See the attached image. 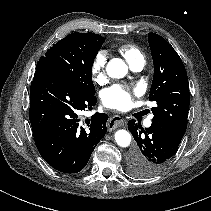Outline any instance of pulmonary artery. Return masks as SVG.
<instances>
[{"label": "pulmonary artery", "instance_id": "e3ab8cb5", "mask_svg": "<svg viewBox=\"0 0 211 211\" xmlns=\"http://www.w3.org/2000/svg\"><path fill=\"white\" fill-rule=\"evenodd\" d=\"M143 66H144V61H141V62H137V63H135L134 65H132V66H131V69H132L133 71H135V72H140V71L142 70ZM151 124H152L151 118H149V119H147V120L145 121V126H146V127H150Z\"/></svg>", "mask_w": 211, "mask_h": 211}]
</instances>
